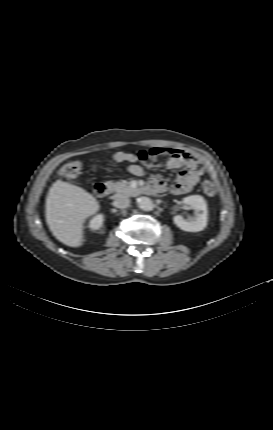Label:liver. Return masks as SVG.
<instances>
[{"label": "liver", "mask_w": 273, "mask_h": 430, "mask_svg": "<svg viewBox=\"0 0 273 430\" xmlns=\"http://www.w3.org/2000/svg\"><path fill=\"white\" fill-rule=\"evenodd\" d=\"M99 207L96 198L83 188L57 180L46 198V221L60 242L80 247L84 242V223Z\"/></svg>", "instance_id": "obj_1"}]
</instances>
